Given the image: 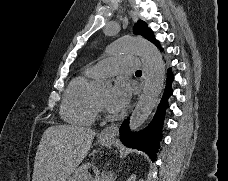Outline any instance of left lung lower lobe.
Masks as SVG:
<instances>
[{
	"label": "left lung lower lobe",
	"mask_w": 228,
	"mask_h": 181,
	"mask_svg": "<svg viewBox=\"0 0 228 181\" xmlns=\"http://www.w3.org/2000/svg\"><path fill=\"white\" fill-rule=\"evenodd\" d=\"M155 44L160 47L157 41ZM172 81L173 75L169 69L163 97L158 105L153 121L145 130L132 133L129 129V119H126L120 127V140L125 144V146L143 150L153 160L156 157V152L159 147V140L161 139L160 128L162 127L165 110L168 107L167 100L169 96L172 95Z\"/></svg>",
	"instance_id": "obj_1"
}]
</instances>
